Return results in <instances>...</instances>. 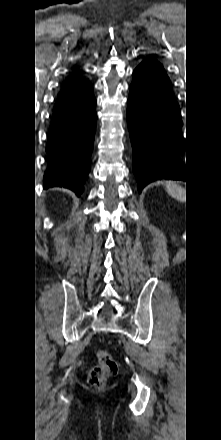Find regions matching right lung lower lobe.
I'll return each instance as SVG.
<instances>
[{"instance_id": "right-lung-lower-lobe-1", "label": "right lung lower lobe", "mask_w": 221, "mask_h": 440, "mask_svg": "<svg viewBox=\"0 0 221 440\" xmlns=\"http://www.w3.org/2000/svg\"><path fill=\"white\" fill-rule=\"evenodd\" d=\"M96 99L91 84L80 79L66 83L56 100L49 140L44 187H65L79 196L90 170L96 130Z\"/></svg>"}]
</instances>
